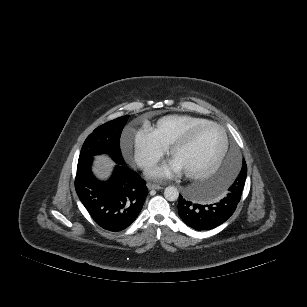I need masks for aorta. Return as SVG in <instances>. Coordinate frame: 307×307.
Instances as JSON below:
<instances>
[{"label": "aorta", "instance_id": "aorta-1", "mask_svg": "<svg viewBox=\"0 0 307 307\" xmlns=\"http://www.w3.org/2000/svg\"><path fill=\"white\" fill-rule=\"evenodd\" d=\"M164 197L168 201H176L179 197V191L174 186H168L164 190Z\"/></svg>", "mask_w": 307, "mask_h": 307}]
</instances>
